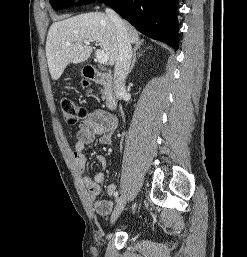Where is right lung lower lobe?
<instances>
[{
  "mask_svg": "<svg viewBox=\"0 0 247 257\" xmlns=\"http://www.w3.org/2000/svg\"><path fill=\"white\" fill-rule=\"evenodd\" d=\"M141 33L178 49L177 0H100Z\"/></svg>",
  "mask_w": 247,
  "mask_h": 257,
  "instance_id": "98d812e1",
  "label": "right lung lower lobe"
}]
</instances>
